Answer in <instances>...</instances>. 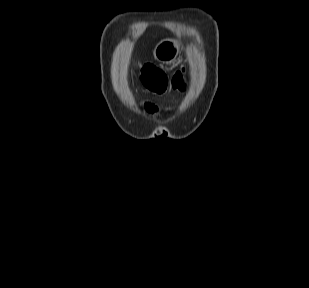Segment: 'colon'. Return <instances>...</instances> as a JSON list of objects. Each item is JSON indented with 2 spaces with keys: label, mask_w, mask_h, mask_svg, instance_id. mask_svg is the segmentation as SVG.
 <instances>
[{
  "label": "colon",
  "mask_w": 309,
  "mask_h": 288,
  "mask_svg": "<svg viewBox=\"0 0 309 288\" xmlns=\"http://www.w3.org/2000/svg\"><path fill=\"white\" fill-rule=\"evenodd\" d=\"M185 69L176 71L171 78L155 67H150L145 74L146 85L156 93H164L168 87L182 89L184 85Z\"/></svg>",
  "instance_id": "1"
}]
</instances>
